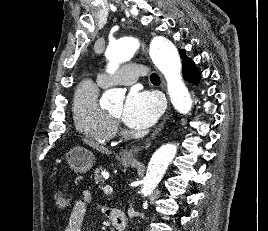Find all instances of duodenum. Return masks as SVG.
Here are the masks:
<instances>
[{
    "mask_svg": "<svg viewBox=\"0 0 268 231\" xmlns=\"http://www.w3.org/2000/svg\"><path fill=\"white\" fill-rule=\"evenodd\" d=\"M110 220L115 229L119 231H124L127 226V218L125 213L122 210H113L110 215Z\"/></svg>",
    "mask_w": 268,
    "mask_h": 231,
    "instance_id": "410a0bca",
    "label": "duodenum"
}]
</instances>
